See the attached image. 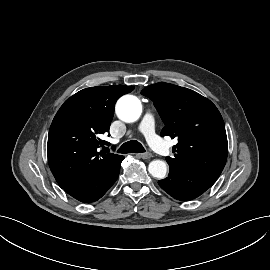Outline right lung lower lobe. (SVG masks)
I'll list each match as a JSON object with an SVG mask.
<instances>
[{
	"instance_id": "98d812e1",
	"label": "right lung lower lobe",
	"mask_w": 270,
	"mask_h": 270,
	"mask_svg": "<svg viewBox=\"0 0 270 270\" xmlns=\"http://www.w3.org/2000/svg\"><path fill=\"white\" fill-rule=\"evenodd\" d=\"M122 159L117 161L104 173L86 180L81 183L73 184L63 188L70 196L75 199L88 203L100 199L107 190L115 183L119 176L120 164Z\"/></svg>"
}]
</instances>
